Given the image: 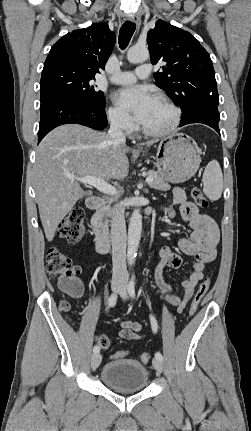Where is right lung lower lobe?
I'll list each match as a JSON object with an SVG mask.
<instances>
[{"label": "right lung lower lobe", "instance_id": "1", "mask_svg": "<svg viewBox=\"0 0 251 431\" xmlns=\"http://www.w3.org/2000/svg\"><path fill=\"white\" fill-rule=\"evenodd\" d=\"M38 143L57 126L77 123L95 130L107 126L105 103L95 105L62 95L41 100Z\"/></svg>", "mask_w": 251, "mask_h": 431}]
</instances>
